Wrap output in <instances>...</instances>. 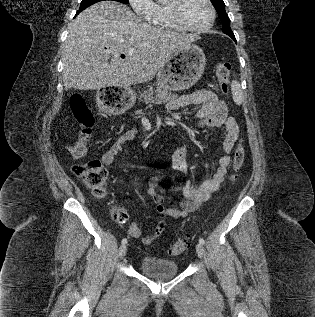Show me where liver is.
<instances>
[{
	"instance_id": "obj_1",
	"label": "liver",
	"mask_w": 315,
	"mask_h": 317,
	"mask_svg": "<svg viewBox=\"0 0 315 317\" xmlns=\"http://www.w3.org/2000/svg\"><path fill=\"white\" fill-rule=\"evenodd\" d=\"M197 39L195 35L152 27L121 3H97L69 25L62 56L65 90L147 82L178 49ZM121 53L126 58L121 59Z\"/></svg>"
}]
</instances>
